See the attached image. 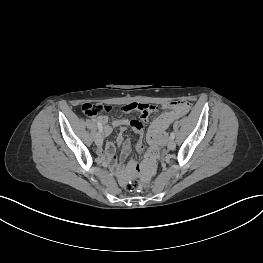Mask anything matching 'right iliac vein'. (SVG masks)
I'll return each mask as SVG.
<instances>
[{
  "mask_svg": "<svg viewBox=\"0 0 263 263\" xmlns=\"http://www.w3.org/2000/svg\"><path fill=\"white\" fill-rule=\"evenodd\" d=\"M95 143L98 147L102 146L103 144V137L101 132H97L95 135Z\"/></svg>",
  "mask_w": 263,
  "mask_h": 263,
  "instance_id": "63e3f726",
  "label": "right iliac vein"
}]
</instances>
